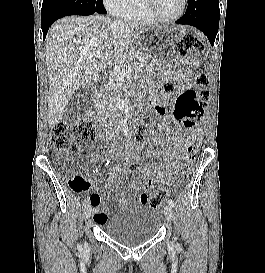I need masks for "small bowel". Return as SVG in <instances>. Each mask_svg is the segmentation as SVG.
Returning <instances> with one entry per match:
<instances>
[{"label": "small bowel", "instance_id": "obj_1", "mask_svg": "<svg viewBox=\"0 0 265 273\" xmlns=\"http://www.w3.org/2000/svg\"><path fill=\"white\" fill-rule=\"evenodd\" d=\"M178 63H182L183 59H177ZM176 80L178 81L181 89L189 90L191 89L192 85L186 78V76L182 73H177L175 75ZM173 101V98L163 96L159 100V104L157 105L156 109L160 111V114L163 116L161 126L158 130L154 131L155 135H163L169 140L174 141L176 139V133L171 130L170 124L172 122V118L169 114L165 112V106L170 104ZM176 129L180 131L182 128L180 126H176ZM198 132V131H197ZM199 136V133H198ZM123 155L126 157L127 160L131 159L132 152L125 151ZM146 155L150 158H156L160 155H164L167 161L165 166L159 165L154 167L150 164H145L140 167V172L142 175H149L154 174L160 179H164L172 174L175 169L176 163L178 161V151L175 150L171 146H166L160 151H153L148 150ZM122 172V167L119 164H115L111 167L110 173L107 178L104 179L105 183L112 184L115 182ZM82 178V177H81ZM83 179V178H82ZM84 181V188H90L92 183L83 179ZM132 190L137 194V199L134 200L135 204H149L150 200L148 199V191L142 190V179L141 177H137L132 181L131 184ZM90 204L93 206L95 210L94 214V221L96 224H101L107 220L108 210L101 209L102 203V196L99 193H93L89 198ZM118 206L121 208H125L127 206V200L124 197H121L118 200Z\"/></svg>", "mask_w": 265, "mask_h": 273}]
</instances>
